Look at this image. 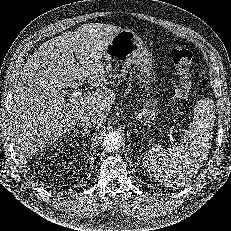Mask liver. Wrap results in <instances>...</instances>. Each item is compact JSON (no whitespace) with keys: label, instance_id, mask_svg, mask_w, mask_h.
I'll return each instance as SVG.
<instances>
[{"label":"liver","instance_id":"obj_1","mask_svg":"<svg viewBox=\"0 0 231 231\" xmlns=\"http://www.w3.org/2000/svg\"><path fill=\"white\" fill-rule=\"evenodd\" d=\"M121 30L103 23L84 24L47 40L29 57L8 121L10 142L20 158L52 144L85 114L97 120L98 129L105 123L115 93L107 87L101 53ZM85 80L96 88L92 95L66 102L61 88H75Z\"/></svg>","mask_w":231,"mask_h":231}]
</instances>
